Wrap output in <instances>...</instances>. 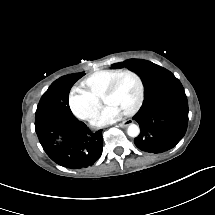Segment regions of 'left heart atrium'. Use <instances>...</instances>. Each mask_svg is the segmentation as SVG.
<instances>
[{
  "label": "left heart atrium",
  "mask_w": 215,
  "mask_h": 215,
  "mask_svg": "<svg viewBox=\"0 0 215 215\" xmlns=\"http://www.w3.org/2000/svg\"><path fill=\"white\" fill-rule=\"evenodd\" d=\"M124 110L116 103L110 102L99 114V120L102 122L111 121L123 115Z\"/></svg>",
  "instance_id": "left-heart-atrium-1"
}]
</instances>
